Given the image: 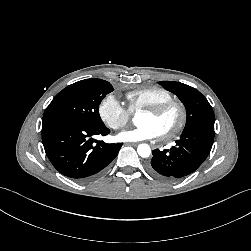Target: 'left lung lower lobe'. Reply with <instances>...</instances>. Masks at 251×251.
I'll use <instances>...</instances> for the list:
<instances>
[{
  "label": "left lung lower lobe",
  "instance_id": "1",
  "mask_svg": "<svg viewBox=\"0 0 251 251\" xmlns=\"http://www.w3.org/2000/svg\"><path fill=\"white\" fill-rule=\"evenodd\" d=\"M214 129L197 127L183 131L176 146L169 150L155 149L148 171L155 177L175 181L194 172L209 155Z\"/></svg>",
  "mask_w": 251,
  "mask_h": 251
}]
</instances>
